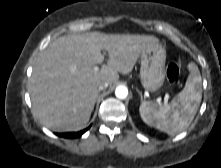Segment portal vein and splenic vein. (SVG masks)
I'll list each match as a JSON object with an SVG mask.
<instances>
[{
  "instance_id": "1",
  "label": "portal vein and splenic vein",
  "mask_w": 221,
  "mask_h": 168,
  "mask_svg": "<svg viewBox=\"0 0 221 168\" xmlns=\"http://www.w3.org/2000/svg\"><path fill=\"white\" fill-rule=\"evenodd\" d=\"M94 70L97 71V70H99V68H98L97 66H95V67H94ZM164 105H165V106L168 105V97H166V98L164 99Z\"/></svg>"
}]
</instances>
